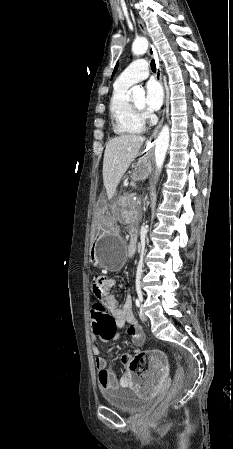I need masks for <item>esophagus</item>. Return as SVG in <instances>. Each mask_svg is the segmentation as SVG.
<instances>
[{"mask_svg": "<svg viewBox=\"0 0 233 449\" xmlns=\"http://www.w3.org/2000/svg\"><path fill=\"white\" fill-rule=\"evenodd\" d=\"M138 26H139L140 30H141L143 33H147V30H146V28H145V26H144V24H143V22H142L141 20H138ZM149 54H150V56H151L152 58H154L155 61H156V64H157V74H156V78L158 79V81L160 82V84L163 86L161 65H160V62H159L157 53H156V51H155V48H154L153 45H151V44H150V46H149ZM163 90H164V86H163ZM163 120H164V117L161 118L159 124L157 125V127H156L155 130L153 131V133H152V135H151V137H150L149 143H151L152 141L155 140V138H156V136H157V134H158V132H159V129L161 128V126H162V124H163Z\"/></svg>", "mask_w": 233, "mask_h": 449, "instance_id": "obj_1", "label": "esophagus"}]
</instances>
